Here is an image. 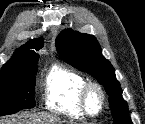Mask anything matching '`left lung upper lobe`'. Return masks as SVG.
I'll return each instance as SVG.
<instances>
[{
	"mask_svg": "<svg viewBox=\"0 0 145 124\" xmlns=\"http://www.w3.org/2000/svg\"><path fill=\"white\" fill-rule=\"evenodd\" d=\"M56 49L65 62L94 76L105 87L114 124H132L115 71L92 35L64 30L56 39Z\"/></svg>",
	"mask_w": 145,
	"mask_h": 124,
	"instance_id": "5c2ea615",
	"label": "left lung upper lobe"
}]
</instances>
